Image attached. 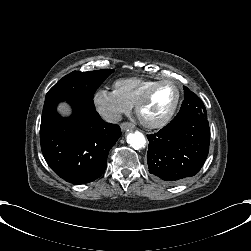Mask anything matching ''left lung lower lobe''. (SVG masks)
I'll use <instances>...</instances> for the list:
<instances>
[{
    "mask_svg": "<svg viewBox=\"0 0 251 251\" xmlns=\"http://www.w3.org/2000/svg\"><path fill=\"white\" fill-rule=\"evenodd\" d=\"M147 137L149 172L166 184H176L196 175L209 152L210 128L205 117L173 120Z\"/></svg>",
    "mask_w": 251,
    "mask_h": 251,
    "instance_id": "1",
    "label": "left lung lower lobe"
}]
</instances>
